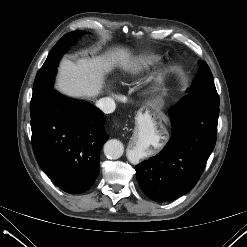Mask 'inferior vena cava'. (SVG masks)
Returning <instances> with one entry per match:
<instances>
[{"instance_id": "602c4592", "label": "inferior vena cava", "mask_w": 247, "mask_h": 247, "mask_svg": "<svg viewBox=\"0 0 247 247\" xmlns=\"http://www.w3.org/2000/svg\"><path fill=\"white\" fill-rule=\"evenodd\" d=\"M96 107L99 108L103 113L109 114L114 112L116 105L112 98L105 97L101 98L96 102Z\"/></svg>"}]
</instances>
